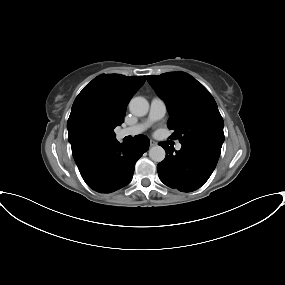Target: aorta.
<instances>
[{
    "instance_id": "1",
    "label": "aorta",
    "mask_w": 285,
    "mask_h": 285,
    "mask_svg": "<svg viewBox=\"0 0 285 285\" xmlns=\"http://www.w3.org/2000/svg\"><path fill=\"white\" fill-rule=\"evenodd\" d=\"M129 110L135 116H145L149 110V103L144 97H134L129 103ZM165 156L166 152L161 146L157 145L149 149V157L154 162H162Z\"/></svg>"
}]
</instances>
